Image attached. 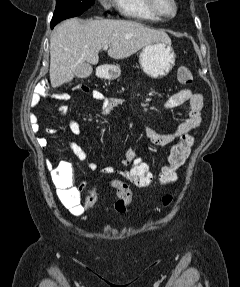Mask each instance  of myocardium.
Wrapping results in <instances>:
<instances>
[{"instance_id": "obj_1", "label": "myocardium", "mask_w": 240, "mask_h": 287, "mask_svg": "<svg viewBox=\"0 0 240 287\" xmlns=\"http://www.w3.org/2000/svg\"><path fill=\"white\" fill-rule=\"evenodd\" d=\"M173 4V11L171 13H166L159 6V0H147L148 7L150 11L159 18L169 19L174 17L178 12V4L176 0H170Z\"/></svg>"}]
</instances>
